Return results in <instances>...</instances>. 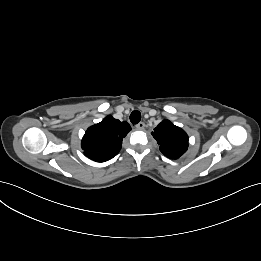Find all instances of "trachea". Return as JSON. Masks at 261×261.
Segmentation results:
<instances>
[{
    "mask_svg": "<svg viewBox=\"0 0 261 261\" xmlns=\"http://www.w3.org/2000/svg\"><path fill=\"white\" fill-rule=\"evenodd\" d=\"M141 120V113L138 110H134L131 114H130V121L133 124H138Z\"/></svg>",
    "mask_w": 261,
    "mask_h": 261,
    "instance_id": "obj_1",
    "label": "trachea"
}]
</instances>
